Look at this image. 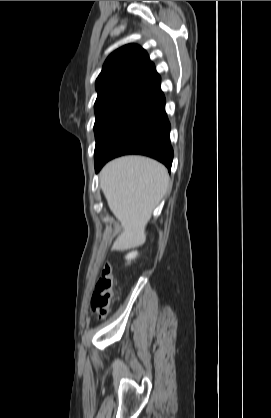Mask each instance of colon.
<instances>
[{"instance_id": "colon-1", "label": "colon", "mask_w": 271, "mask_h": 418, "mask_svg": "<svg viewBox=\"0 0 271 418\" xmlns=\"http://www.w3.org/2000/svg\"><path fill=\"white\" fill-rule=\"evenodd\" d=\"M116 297L115 278L109 265H105L97 280L91 297V310L99 318H104Z\"/></svg>"}]
</instances>
